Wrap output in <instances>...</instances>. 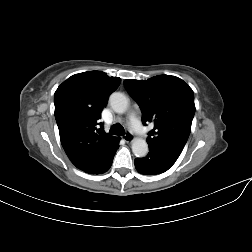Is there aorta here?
Masks as SVG:
<instances>
[{
	"mask_svg": "<svg viewBox=\"0 0 252 252\" xmlns=\"http://www.w3.org/2000/svg\"><path fill=\"white\" fill-rule=\"evenodd\" d=\"M112 109L119 114L124 113L128 108V98L120 92L111 94L109 98ZM132 151L136 157H145L148 153V144L142 138H136L132 141Z\"/></svg>",
	"mask_w": 252,
	"mask_h": 252,
	"instance_id": "obj_1",
	"label": "aorta"
}]
</instances>
